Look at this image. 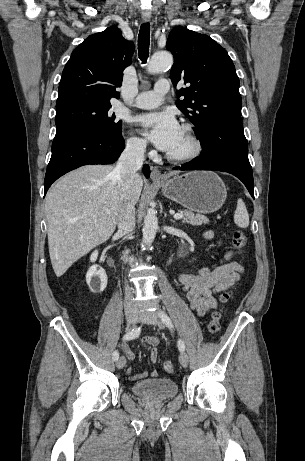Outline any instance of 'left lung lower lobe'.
Returning <instances> with one entry per match:
<instances>
[{
  "mask_svg": "<svg viewBox=\"0 0 305 461\" xmlns=\"http://www.w3.org/2000/svg\"><path fill=\"white\" fill-rule=\"evenodd\" d=\"M198 138L202 146L199 157L175 169L228 172L239 178L254 198L252 168L241 117L214 120Z\"/></svg>",
  "mask_w": 305,
  "mask_h": 461,
  "instance_id": "left-lung-lower-lobe-1",
  "label": "left lung lower lobe"
}]
</instances>
